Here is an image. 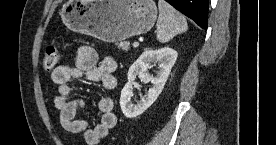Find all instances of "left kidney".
<instances>
[{"label": "left kidney", "mask_w": 276, "mask_h": 145, "mask_svg": "<svg viewBox=\"0 0 276 145\" xmlns=\"http://www.w3.org/2000/svg\"><path fill=\"white\" fill-rule=\"evenodd\" d=\"M177 52L169 47L146 50L129 68L127 78L128 82L122 89L120 96V106L123 114L127 118H135L145 112L158 98L162 92L164 85L168 79L170 71L177 59ZM158 63L156 76H151L149 69L151 63ZM139 77L142 82L152 83V87L136 104L131 102L133 91V82L136 77Z\"/></svg>", "instance_id": "5707ae66"}]
</instances>
